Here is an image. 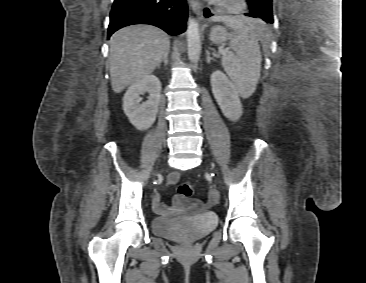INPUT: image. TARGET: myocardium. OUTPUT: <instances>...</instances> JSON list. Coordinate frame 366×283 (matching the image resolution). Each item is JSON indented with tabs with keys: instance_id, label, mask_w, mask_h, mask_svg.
<instances>
[{
	"instance_id": "1",
	"label": "myocardium",
	"mask_w": 366,
	"mask_h": 283,
	"mask_svg": "<svg viewBox=\"0 0 366 283\" xmlns=\"http://www.w3.org/2000/svg\"><path fill=\"white\" fill-rule=\"evenodd\" d=\"M219 6L222 10L229 13H240L246 6V0H219Z\"/></svg>"
}]
</instances>
